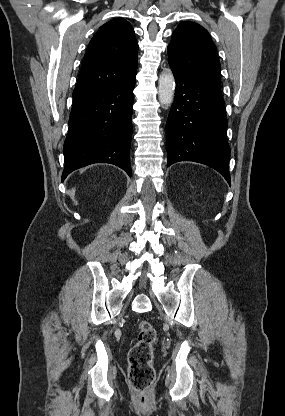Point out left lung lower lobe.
Segmentation results:
<instances>
[{"mask_svg":"<svg viewBox=\"0 0 285 416\" xmlns=\"http://www.w3.org/2000/svg\"><path fill=\"white\" fill-rule=\"evenodd\" d=\"M170 67L176 91L166 125L167 166L178 161L202 163L220 172L230 184L228 121L220 89Z\"/></svg>","mask_w":285,"mask_h":416,"instance_id":"0a47b994","label":"left lung lower lobe"}]
</instances>
